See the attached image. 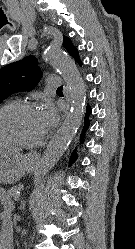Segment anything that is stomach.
<instances>
[{"instance_id": "obj_1", "label": "stomach", "mask_w": 135, "mask_h": 249, "mask_svg": "<svg viewBox=\"0 0 135 249\" xmlns=\"http://www.w3.org/2000/svg\"><path fill=\"white\" fill-rule=\"evenodd\" d=\"M37 165V154H20L11 149H0V182L14 183L25 172H32Z\"/></svg>"}]
</instances>
